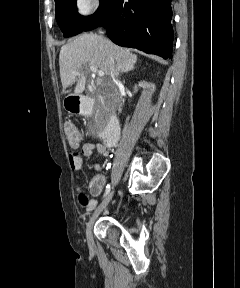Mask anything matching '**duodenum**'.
Masks as SVG:
<instances>
[{
  "instance_id": "410a0bca",
  "label": "duodenum",
  "mask_w": 240,
  "mask_h": 288,
  "mask_svg": "<svg viewBox=\"0 0 240 288\" xmlns=\"http://www.w3.org/2000/svg\"><path fill=\"white\" fill-rule=\"evenodd\" d=\"M74 102L77 106V112L81 114H89L93 111L94 101L90 98L75 97ZM120 135V126L117 118L111 115L108 119L107 126L102 134V139L105 145L113 146L117 142Z\"/></svg>"
}]
</instances>
